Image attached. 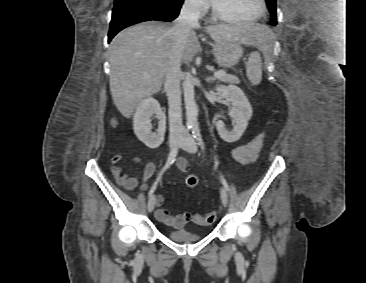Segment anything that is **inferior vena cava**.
<instances>
[{"label":"inferior vena cava","mask_w":366,"mask_h":283,"mask_svg":"<svg viewBox=\"0 0 366 283\" xmlns=\"http://www.w3.org/2000/svg\"><path fill=\"white\" fill-rule=\"evenodd\" d=\"M200 8L195 0H185L179 16L173 22L171 33L174 35L175 44L172 55L169 57L165 73V90L169 103L170 134L174 135L182 131L181 116V89L182 78L181 54L185 44L187 33L198 25Z\"/></svg>","instance_id":"1"}]
</instances>
